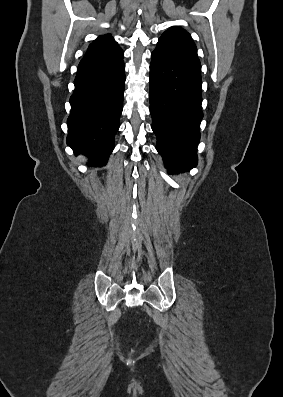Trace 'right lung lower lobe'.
Instances as JSON below:
<instances>
[{
  "label": "right lung lower lobe",
  "instance_id": "obj_1",
  "mask_svg": "<svg viewBox=\"0 0 283 397\" xmlns=\"http://www.w3.org/2000/svg\"><path fill=\"white\" fill-rule=\"evenodd\" d=\"M124 72L123 57L77 70L69 101L67 144L95 163H106L114 149L123 110Z\"/></svg>",
  "mask_w": 283,
  "mask_h": 397
}]
</instances>
